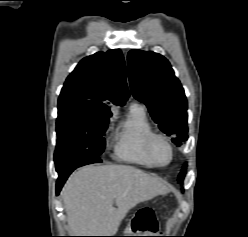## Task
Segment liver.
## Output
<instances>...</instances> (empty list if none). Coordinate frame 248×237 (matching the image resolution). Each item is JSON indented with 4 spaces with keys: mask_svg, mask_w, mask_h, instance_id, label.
<instances>
[{
    "mask_svg": "<svg viewBox=\"0 0 248 237\" xmlns=\"http://www.w3.org/2000/svg\"><path fill=\"white\" fill-rule=\"evenodd\" d=\"M167 191L159 179L132 166L82 167L61 193L70 234L113 236L130 209Z\"/></svg>",
    "mask_w": 248,
    "mask_h": 237,
    "instance_id": "1",
    "label": "liver"
}]
</instances>
